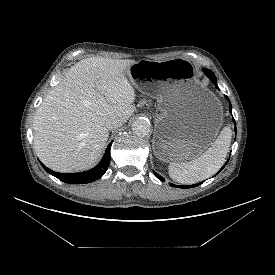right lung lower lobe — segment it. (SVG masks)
Masks as SVG:
<instances>
[{
    "label": "right lung lower lobe",
    "instance_id": "obj_1",
    "mask_svg": "<svg viewBox=\"0 0 275 275\" xmlns=\"http://www.w3.org/2000/svg\"><path fill=\"white\" fill-rule=\"evenodd\" d=\"M111 145H112V142L108 145L101 162L96 167L82 173L62 174V173L54 172L48 169L42 163L41 165L48 173H50L51 175L55 176L56 178H58L59 180L65 183H71V184L90 183L99 179L106 172L110 163Z\"/></svg>",
    "mask_w": 275,
    "mask_h": 275
}]
</instances>
